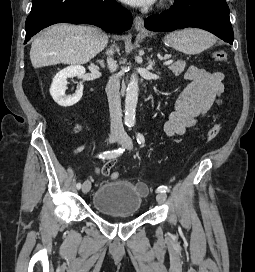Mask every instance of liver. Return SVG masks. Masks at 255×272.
I'll list each match as a JSON object with an SVG mask.
<instances>
[{
  "mask_svg": "<svg viewBox=\"0 0 255 272\" xmlns=\"http://www.w3.org/2000/svg\"><path fill=\"white\" fill-rule=\"evenodd\" d=\"M108 43V35L97 27L61 23L41 32L32 42L30 60L34 68L59 63L89 62Z\"/></svg>",
  "mask_w": 255,
  "mask_h": 272,
  "instance_id": "obj_1",
  "label": "liver"
}]
</instances>
